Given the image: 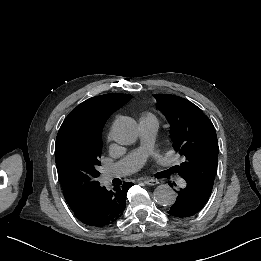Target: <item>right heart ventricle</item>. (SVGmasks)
<instances>
[{"mask_svg":"<svg viewBox=\"0 0 261 261\" xmlns=\"http://www.w3.org/2000/svg\"><path fill=\"white\" fill-rule=\"evenodd\" d=\"M141 119H152V120H156V119H155V116H154L151 112H145V113L141 116L140 120H141Z\"/></svg>","mask_w":261,"mask_h":261,"instance_id":"obj_1","label":"right heart ventricle"}]
</instances>
